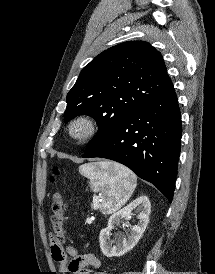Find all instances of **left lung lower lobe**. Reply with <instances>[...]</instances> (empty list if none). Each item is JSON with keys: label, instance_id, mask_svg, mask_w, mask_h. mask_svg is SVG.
<instances>
[{"label": "left lung lower lobe", "instance_id": "1", "mask_svg": "<svg viewBox=\"0 0 215 274\" xmlns=\"http://www.w3.org/2000/svg\"><path fill=\"white\" fill-rule=\"evenodd\" d=\"M182 135L181 114L172 82L127 115L84 158L119 162L152 183L171 202Z\"/></svg>", "mask_w": 215, "mask_h": 274}]
</instances>
